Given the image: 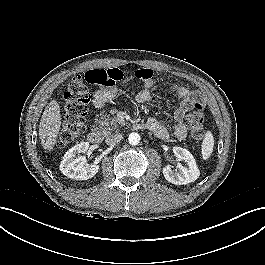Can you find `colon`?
<instances>
[{
  "label": "colon",
  "instance_id": "obj_1",
  "mask_svg": "<svg viewBox=\"0 0 265 265\" xmlns=\"http://www.w3.org/2000/svg\"><path fill=\"white\" fill-rule=\"evenodd\" d=\"M117 70H92L85 78L78 75L72 78L63 92V122L58 136V146L65 148L80 136L85 126L87 105L90 102V93L86 83L93 85H112L115 82ZM134 76L144 80L152 76L149 69L136 70ZM188 122L192 136L201 139L204 136L205 113L201 104H195L188 115Z\"/></svg>",
  "mask_w": 265,
  "mask_h": 265
}]
</instances>
